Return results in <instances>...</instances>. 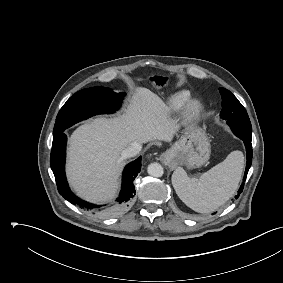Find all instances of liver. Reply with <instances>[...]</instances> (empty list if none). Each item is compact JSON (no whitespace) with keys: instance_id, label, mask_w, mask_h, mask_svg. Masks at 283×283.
<instances>
[{"instance_id":"1","label":"liver","mask_w":283,"mask_h":283,"mask_svg":"<svg viewBox=\"0 0 283 283\" xmlns=\"http://www.w3.org/2000/svg\"><path fill=\"white\" fill-rule=\"evenodd\" d=\"M175 124L156 94L137 87L123 114L97 117L72 133L67 160L72 189L91 202L112 199L124 166L123 150L132 143L168 141Z\"/></svg>"}]
</instances>
